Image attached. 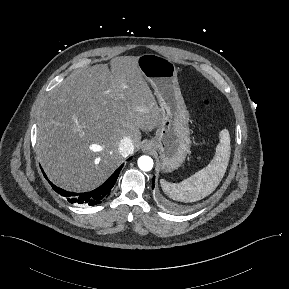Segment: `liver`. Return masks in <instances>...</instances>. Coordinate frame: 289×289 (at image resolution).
Here are the masks:
<instances>
[{
    "mask_svg": "<svg viewBox=\"0 0 289 289\" xmlns=\"http://www.w3.org/2000/svg\"><path fill=\"white\" fill-rule=\"evenodd\" d=\"M71 74L48 94L37 119L36 153L49 179L72 192L100 186L123 162L124 137L161 123V109L137 65L120 56Z\"/></svg>",
    "mask_w": 289,
    "mask_h": 289,
    "instance_id": "obj_1",
    "label": "liver"
}]
</instances>
